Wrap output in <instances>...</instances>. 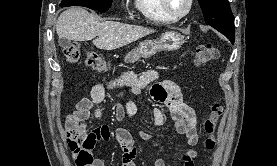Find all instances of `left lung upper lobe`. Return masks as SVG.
Here are the masks:
<instances>
[{"instance_id":"obj_1","label":"left lung upper lobe","mask_w":277,"mask_h":166,"mask_svg":"<svg viewBox=\"0 0 277 166\" xmlns=\"http://www.w3.org/2000/svg\"><path fill=\"white\" fill-rule=\"evenodd\" d=\"M205 22L234 43L235 28L228 0H198Z\"/></svg>"}]
</instances>
